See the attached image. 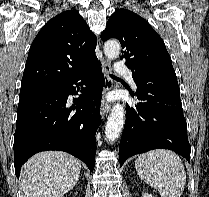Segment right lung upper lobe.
I'll list each match as a JSON object with an SVG mask.
<instances>
[{"instance_id": "obj_1", "label": "right lung upper lobe", "mask_w": 209, "mask_h": 197, "mask_svg": "<svg viewBox=\"0 0 209 197\" xmlns=\"http://www.w3.org/2000/svg\"><path fill=\"white\" fill-rule=\"evenodd\" d=\"M96 36L83 17L68 10L48 21L35 37L21 90L53 88L97 61Z\"/></svg>"}]
</instances>
